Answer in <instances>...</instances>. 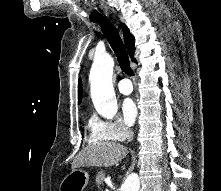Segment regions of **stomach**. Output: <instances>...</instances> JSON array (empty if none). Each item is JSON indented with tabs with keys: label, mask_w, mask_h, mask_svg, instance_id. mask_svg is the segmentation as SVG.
Returning <instances> with one entry per match:
<instances>
[{
	"label": "stomach",
	"mask_w": 221,
	"mask_h": 191,
	"mask_svg": "<svg viewBox=\"0 0 221 191\" xmlns=\"http://www.w3.org/2000/svg\"><path fill=\"white\" fill-rule=\"evenodd\" d=\"M88 182V172L76 168L62 180L59 191H83Z\"/></svg>",
	"instance_id": "1"
}]
</instances>
